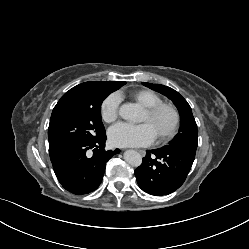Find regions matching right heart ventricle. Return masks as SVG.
I'll return each mask as SVG.
<instances>
[{
    "mask_svg": "<svg viewBox=\"0 0 249 249\" xmlns=\"http://www.w3.org/2000/svg\"><path fill=\"white\" fill-rule=\"evenodd\" d=\"M129 97L138 102L143 107H149L162 102L161 97L149 89H138L129 92Z\"/></svg>",
    "mask_w": 249,
    "mask_h": 249,
    "instance_id": "obj_1",
    "label": "right heart ventricle"
}]
</instances>
